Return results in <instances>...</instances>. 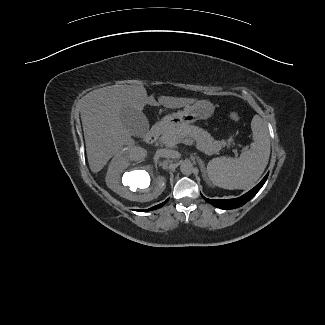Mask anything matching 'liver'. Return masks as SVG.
Wrapping results in <instances>:
<instances>
[{
    "label": "liver",
    "mask_w": 325,
    "mask_h": 325,
    "mask_svg": "<svg viewBox=\"0 0 325 325\" xmlns=\"http://www.w3.org/2000/svg\"><path fill=\"white\" fill-rule=\"evenodd\" d=\"M81 119L86 143L88 163L97 173L114 155H120L123 146L137 159L146 151L135 146L132 134L123 125L120 113L124 108L142 112L146 104L167 108H181L199 102L194 98L160 96L158 102L148 97L143 85H112L94 90L84 96Z\"/></svg>",
    "instance_id": "liver-1"
}]
</instances>
